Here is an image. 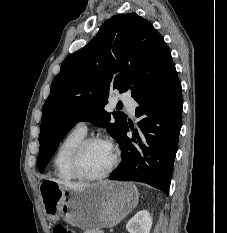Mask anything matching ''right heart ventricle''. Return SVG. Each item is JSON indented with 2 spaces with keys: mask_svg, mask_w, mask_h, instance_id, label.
Here are the masks:
<instances>
[{
  "mask_svg": "<svg viewBox=\"0 0 227 233\" xmlns=\"http://www.w3.org/2000/svg\"><path fill=\"white\" fill-rule=\"evenodd\" d=\"M85 135L86 133L73 129L59 144L53 159L54 171L58 178L65 181L76 179L71 171L70 158L73 150L85 138Z\"/></svg>",
  "mask_w": 227,
  "mask_h": 233,
  "instance_id": "right-heart-ventricle-1",
  "label": "right heart ventricle"
}]
</instances>
